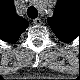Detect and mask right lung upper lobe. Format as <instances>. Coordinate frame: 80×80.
I'll return each mask as SVG.
<instances>
[{"label":"right lung upper lobe","instance_id":"cb5924a9","mask_svg":"<svg viewBox=\"0 0 80 80\" xmlns=\"http://www.w3.org/2000/svg\"><path fill=\"white\" fill-rule=\"evenodd\" d=\"M27 26L26 20L16 15L12 4L0 11V37L2 40L14 43Z\"/></svg>","mask_w":80,"mask_h":80}]
</instances>
